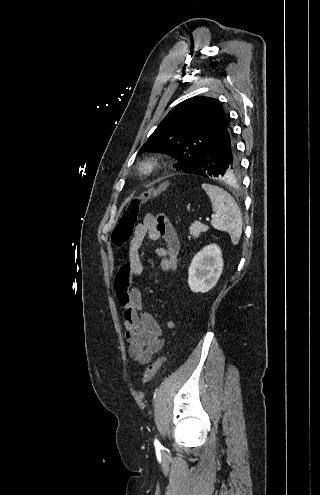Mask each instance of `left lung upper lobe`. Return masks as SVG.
Returning <instances> with one entry per match:
<instances>
[{
    "instance_id": "obj_1",
    "label": "left lung upper lobe",
    "mask_w": 320,
    "mask_h": 495,
    "mask_svg": "<svg viewBox=\"0 0 320 495\" xmlns=\"http://www.w3.org/2000/svg\"><path fill=\"white\" fill-rule=\"evenodd\" d=\"M228 125V118L218 101L196 96L176 107L158 125L140 152L172 155L174 166L183 171L192 166L199 154Z\"/></svg>"
}]
</instances>
